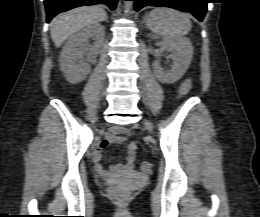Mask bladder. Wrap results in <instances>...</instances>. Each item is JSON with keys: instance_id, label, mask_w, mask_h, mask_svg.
<instances>
[{"instance_id": "1", "label": "bladder", "mask_w": 260, "mask_h": 217, "mask_svg": "<svg viewBox=\"0 0 260 217\" xmlns=\"http://www.w3.org/2000/svg\"><path fill=\"white\" fill-rule=\"evenodd\" d=\"M135 175H136V177H138V178H140V179L143 178V176H141V175H138V174H135Z\"/></svg>"}]
</instances>
